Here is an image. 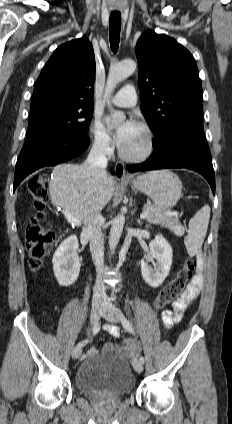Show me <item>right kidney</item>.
I'll return each instance as SVG.
<instances>
[{"instance_id": "1", "label": "right kidney", "mask_w": 232, "mask_h": 424, "mask_svg": "<svg viewBox=\"0 0 232 424\" xmlns=\"http://www.w3.org/2000/svg\"><path fill=\"white\" fill-rule=\"evenodd\" d=\"M78 248V239L72 235L59 245L53 255L54 275L61 286L72 285L79 276L81 264Z\"/></svg>"}]
</instances>
